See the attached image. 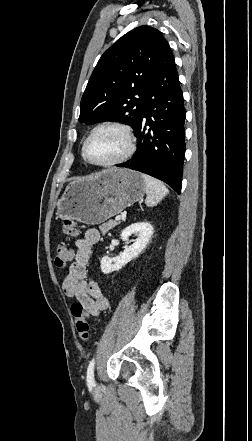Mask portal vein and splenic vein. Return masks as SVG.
Here are the masks:
<instances>
[{"instance_id":"1","label":"portal vein and splenic vein","mask_w":252,"mask_h":441,"mask_svg":"<svg viewBox=\"0 0 252 441\" xmlns=\"http://www.w3.org/2000/svg\"><path fill=\"white\" fill-rule=\"evenodd\" d=\"M121 219H122L121 216H116V217H115V220H116V221H120Z\"/></svg>"}]
</instances>
